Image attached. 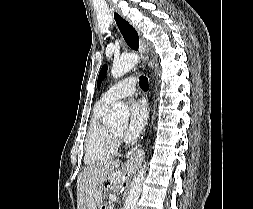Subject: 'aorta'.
Masks as SVG:
<instances>
[{
  "label": "aorta",
  "instance_id": "762f6f07",
  "mask_svg": "<svg viewBox=\"0 0 253 209\" xmlns=\"http://www.w3.org/2000/svg\"><path fill=\"white\" fill-rule=\"evenodd\" d=\"M139 61V56L136 54H127L122 56L119 60L115 61L111 68V75L114 78H120L128 73ZM129 109L123 103H116L108 115L109 124H122L128 119ZM146 176V163L141 167L135 178L129 195L125 201L124 209H136L137 202L140 198L142 186Z\"/></svg>",
  "mask_w": 253,
  "mask_h": 209
}]
</instances>
